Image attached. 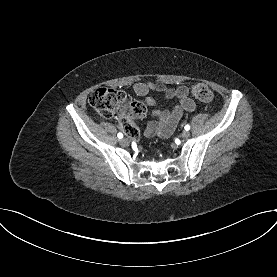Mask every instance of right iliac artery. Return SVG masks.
<instances>
[{"label":"right iliac artery","instance_id":"82829eb1","mask_svg":"<svg viewBox=\"0 0 277 277\" xmlns=\"http://www.w3.org/2000/svg\"><path fill=\"white\" fill-rule=\"evenodd\" d=\"M117 136H118L119 139L123 138V134L122 133H118Z\"/></svg>","mask_w":277,"mask_h":277}]
</instances>
